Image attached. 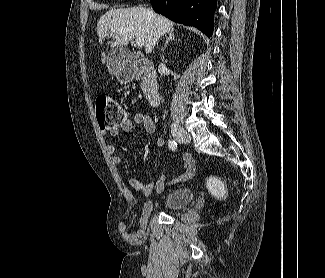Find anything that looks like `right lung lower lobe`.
I'll list each match as a JSON object with an SVG mask.
<instances>
[{
    "label": "right lung lower lobe",
    "mask_w": 325,
    "mask_h": 278,
    "mask_svg": "<svg viewBox=\"0 0 325 278\" xmlns=\"http://www.w3.org/2000/svg\"><path fill=\"white\" fill-rule=\"evenodd\" d=\"M153 9L172 21L213 34L217 0H150Z\"/></svg>",
    "instance_id": "1"
}]
</instances>
